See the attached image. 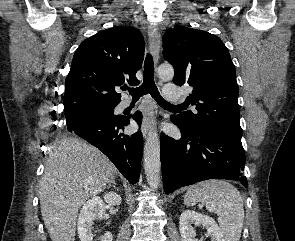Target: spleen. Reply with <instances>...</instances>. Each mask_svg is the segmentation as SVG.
I'll return each instance as SVG.
<instances>
[{
  "label": "spleen",
  "mask_w": 295,
  "mask_h": 241,
  "mask_svg": "<svg viewBox=\"0 0 295 241\" xmlns=\"http://www.w3.org/2000/svg\"><path fill=\"white\" fill-rule=\"evenodd\" d=\"M201 202L209 212L218 215V223L225 241H239L241 237L244 207L240 192L225 180H207L191 186L184 203L194 206Z\"/></svg>",
  "instance_id": "1"
}]
</instances>
